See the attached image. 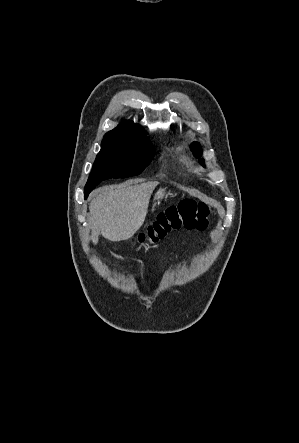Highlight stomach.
Instances as JSON below:
<instances>
[{
    "label": "stomach",
    "instance_id": "0dacf381",
    "mask_svg": "<svg viewBox=\"0 0 299 443\" xmlns=\"http://www.w3.org/2000/svg\"><path fill=\"white\" fill-rule=\"evenodd\" d=\"M166 196V189H159L155 195L153 201L155 204L159 203Z\"/></svg>",
    "mask_w": 299,
    "mask_h": 443
}]
</instances>
